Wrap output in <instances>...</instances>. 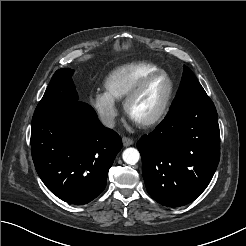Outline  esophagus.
Segmentation results:
<instances>
[{
    "label": "esophagus",
    "instance_id": "34e87169",
    "mask_svg": "<svg viewBox=\"0 0 246 246\" xmlns=\"http://www.w3.org/2000/svg\"><path fill=\"white\" fill-rule=\"evenodd\" d=\"M122 142H123V145L124 146H130L134 143V141L131 139V138H128V137H123L122 138Z\"/></svg>",
    "mask_w": 246,
    "mask_h": 246
}]
</instances>
